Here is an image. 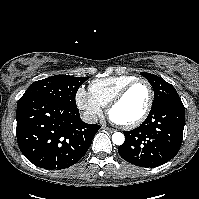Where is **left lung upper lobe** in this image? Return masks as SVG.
Returning <instances> with one entry per match:
<instances>
[{
  "instance_id": "obj_1",
  "label": "left lung upper lobe",
  "mask_w": 199,
  "mask_h": 199,
  "mask_svg": "<svg viewBox=\"0 0 199 199\" xmlns=\"http://www.w3.org/2000/svg\"><path fill=\"white\" fill-rule=\"evenodd\" d=\"M141 75H143L153 87L154 100L152 107L157 106L169 99L179 98V95L176 92L175 88L162 78L147 72H141Z\"/></svg>"
}]
</instances>
